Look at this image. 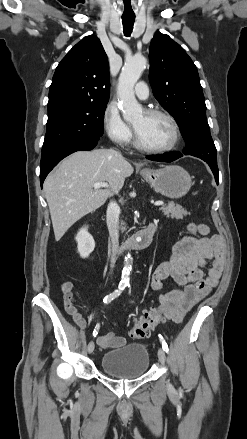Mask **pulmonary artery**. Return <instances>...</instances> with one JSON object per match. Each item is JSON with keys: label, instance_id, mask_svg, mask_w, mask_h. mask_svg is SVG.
<instances>
[{"label": "pulmonary artery", "instance_id": "obj_1", "mask_svg": "<svg viewBox=\"0 0 247 439\" xmlns=\"http://www.w3.org/2000/svg\"><path fill=\"white\" fill-rule=\"evenodd\" d=\"M135 94L141 100H146L149 96V90L144 82H139L135 86Z\"/></svg>", "mask_w": 247, "mask_h": 439}]
</instances>
